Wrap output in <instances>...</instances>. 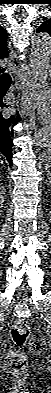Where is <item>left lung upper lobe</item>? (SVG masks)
<instances>
[{"label": "left lung upper lobe", "instance_id": "obj_1", "mask_svg": "<svg viewBox=\"0 0 51 393\" xmlns=\"http://www.w3.org/2000/svg\"><path fill=\"white\" fill-rule=\"evenodd\" d=\"M37 33L44 32L51 35V19L46 20L40 24V26L36 30Z\"/></svg>", "mask_w": 51, "mask_h": 393}]
</instances>
